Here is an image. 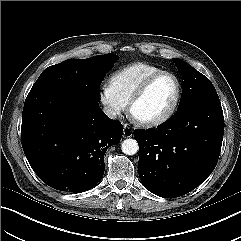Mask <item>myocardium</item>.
<instances>
[{"mask_svg": "<svg viewBox=\"0 0 241 241\" xmlns=\"http://www.w3.org/2000/svg\"><path fill=\"white\" fill-rule=\"evenodd\" d=\"M163 76H170L175 80L176 83V94L174 97V100L171 104V106L168 108V110L162 114L161 116L150 119V120H142L139 119L135 116L134 114V107L135 105L145 96V94L148 92L150 87L154 84L155 81H157L160 77ZM182 95V85L179 77L171 72V71H166L162 70L160 72H157L153 75H151L149 78H147L141 86L136 90V92L133 94L129 101V114L131 118L136 122L138 125L146 128H154L158 127L164 123H166L168 120L172 118V116L175 114Z\"/></svg>", "mask_w": 241, "mask_h": 241, "instance_id": "myocardium-1", "label": "myocardium"}]
</instances>
